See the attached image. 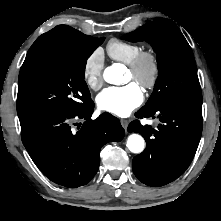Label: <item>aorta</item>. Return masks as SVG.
I'll list each match as a JSON object with an SVG mask.
<instances>
[{
  "instance_id": "1",
  "label": "aorta",
  "mask_w": 221,
  "mask_h": 221,
  "mask_svg": "<svg viewBox=\"0 0 221 221\" xmlns=\"http://www.w3.org/2000/svg\"><path fill=\"white\" fill-rule=\"evenodd\" d=\"M122 75V65L114 64L104 70L103 78L110 84L118 85L121 82ZM127 147L133 153H141L145 148V141L139 134H131L127 139Z\"/></svg>"
}]
</instances>
